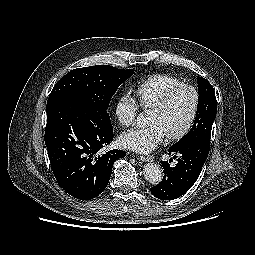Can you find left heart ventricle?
Listing matches in <instances>:
<instances>
[{
    "label": "left heart ventricle",
    "mask_w": 255,
    "mask_h": 255,
    "mask_svg": "<svg viewBox=\"0 0 255 255\" xmlns=\"http://www.w3.org/2000/svg\"><path fill=\"white\" fill-rule=\"evenodd\" d=\"M193 94L188 89L178 91L163 111L152 110L148 123L158 124L165 134L180 131L187 123L193 108Z\"/></svg>",
    "instance_id": "obj_1"
}]
</instances>
